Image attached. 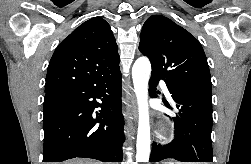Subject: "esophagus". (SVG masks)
<instances>
[{"mask_svg":"<svg viewBox=\"0 0 251 164\" xmlns=\"http://www.w3.org/2000/svg\"><path fill=\"white\" fill-rule=\"evenodd\" d=\"M129 110L132 113V115L136 118L137 117V111H136V103L135 100H131V104L129 105Z\"/></svg>","mask_w":251,"mask_h":164,"instance_id":"esophagus-1","label":"esophagus"}]
</instances>
